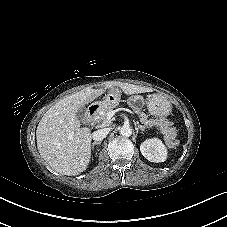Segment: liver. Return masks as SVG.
<instances>
[{
    "label": "liver",
    "instance_id": "1",
    "mask_svg": "<svg viewBox=\"0 0 227 227\" xmlns=\"http://www.w3.org/2000/svg\"><path fill=\"white\" fill-rule=\"evenodd\" d=\"M120 87L126 95L149 90L127 83L110 82L106 88ZM91 88L83 89L57 102L40 120L36 130L37 149L52 170L75 176L84 172L91 158V130L80 128L78 110L93 99Z\"/></svg>",
    "mask_w": 227,
    "mask_h": 227
}]
</instances>
